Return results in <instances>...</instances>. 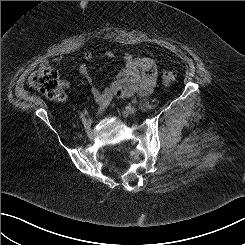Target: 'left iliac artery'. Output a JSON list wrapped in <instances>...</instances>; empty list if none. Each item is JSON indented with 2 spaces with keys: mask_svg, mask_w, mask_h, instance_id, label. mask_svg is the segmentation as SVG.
I'll use <instances>...</instances> for the list:
<instances>
[{
  "mask_svg": "<svg viewBox=\"0 0 245 245\" xmlns=\"http://www.w3.org/2000/svg\"><path fill=\"white\" fill-rule=\"evenodd\" d=\"M131 102H132L133 104H136V103H137V100H136V99H132Z\"/></svg>",
  "mask_w": 245,
  "mask_h": 245,
  "instance_id": "obj_1",
  "label": "left iliac artery"
}]
</instances>
